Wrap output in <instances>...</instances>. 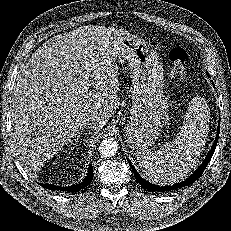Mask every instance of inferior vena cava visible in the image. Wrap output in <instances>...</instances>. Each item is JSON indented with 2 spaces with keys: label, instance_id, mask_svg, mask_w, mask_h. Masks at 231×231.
Returning <instances> with one entry per match:
<instances>
[{
  "label": "inferior vena cava",
  "instance_id": "602c4592",
  "mask_svg": "<svg viewBox=\"0 0 231 231\" xmlns=\"http://www.w3.org/2000/svg\"><path fill=\"white\" fill-rule=\"evenodd\" d=\"M95 123H96V119L94 117H85L83 118L81 125L82 127L85 128V127H91L95 125Z\"/></svg>",
  "mask_w": 231,
  "mask_h": 231
}]
</instances>
